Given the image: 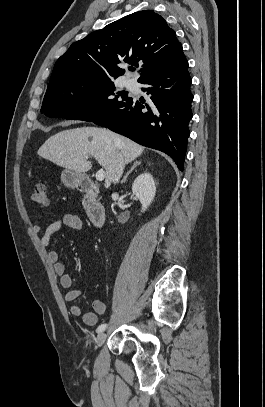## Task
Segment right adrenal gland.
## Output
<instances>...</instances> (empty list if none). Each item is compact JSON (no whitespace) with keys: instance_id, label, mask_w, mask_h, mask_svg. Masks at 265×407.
<instances>
[{"instance_id":"2a0ac1e0","label":"right adrenal gland","mask_w":265,"mask_h":407,"mask_svg":"<svg viewBox=\"0 0 265 407\" xmlns=\"http://www.w3.org/2000/svg\"><path fill=\"white\" fill-rule=\"evenodd\" d=\"M141 164L140 161H136L133 166L131 167V169L126 173V175L123 177V179L121 180V184L125 183L127 180L128 175L137 167Z\"/></svg>"}]
</instances>
